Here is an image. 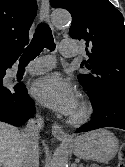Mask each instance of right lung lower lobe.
<instances>
[{
	"label": "right lung lower lobe",
	"mask_w": 125,
	"mask_h": 167,
	"mask_svg": "<svg viewBox=\"0 0 125 167\" xmlns=\"http://www.w3.org/2000/svg\"><path fill=\"white\" fill-rule=\"evenodd\" d=\"M7 68L0 70V121L20 126L33 117L34 101L28 95L23 83L10 88L3 85V77Z\"/></svg>",
	"instance_id": "98d812e1"
}]
</instances>
